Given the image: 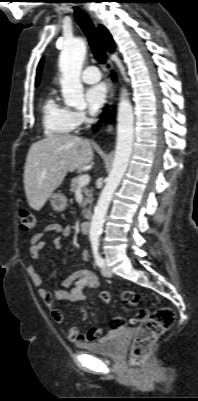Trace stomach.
Segmentation results:
<instances>
[{
  "label": "stomach",
  "mask_w": 198,
  "mask_h": 401,
  "mask_svg": "<svg viewBox=\"0 0 198 401\" xmlns=\"http://www.w3.org/2000/svg\"><path fill=\"white\" fill-rule=\"evenodd\" d=\"M50 204L55 211L61 212L67 206V198L61 192L53 193L49 197Z\"/></svg>",
  "instance_id": "0dacf381"
}]
</instances>
